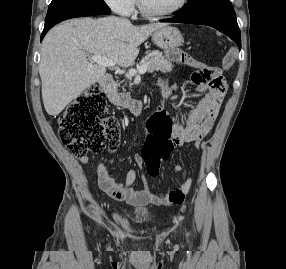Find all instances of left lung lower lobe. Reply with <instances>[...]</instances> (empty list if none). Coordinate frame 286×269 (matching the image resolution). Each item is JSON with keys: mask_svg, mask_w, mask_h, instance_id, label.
<instances>
[{"mask_svg": "<svg viewBox=\"0 0 286 269\" xmlns=\"http://www.w3.org/2000/svg\"><path fill=\"white\" fill-rule=\"evenodd\" d=\"M161 22H178L211 26L229 36L237 44L239 50L241 49L240 29L235 15L207 14L189 17L176 15L173 18L161 20Z\"/></svg>", "mask_w": 286, "mask_h": 269, "instance_id": "left-lung-lower-lobe-1", "label": "left lung lower lobe"}]
</instances>
